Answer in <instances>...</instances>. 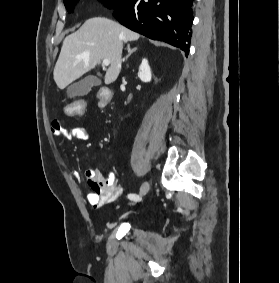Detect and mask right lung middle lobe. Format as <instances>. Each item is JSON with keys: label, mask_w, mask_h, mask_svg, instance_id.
Instances as JSON below:
<instances>
[{"label": "right lung middle lobe", "mask_w": 280, "mask_h": 283, "mask_svg": "<svg viewBox=\"0 0 280 283\" xmlns=\"http://www.w3.org/2000/svg\"><path fill=\"white\" fill-rule=\"evenodd\" d=\"M128 0H107L105 1V5L109 8H113L115 11L121 9ZM74 2L75 0H64V4L68 13H72L74 10Z\"/></svg>", "instance_id": "obj_1"}]
</instances>
